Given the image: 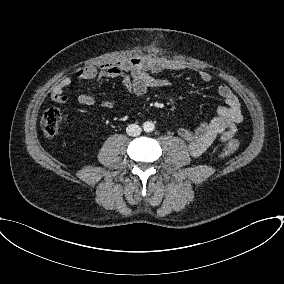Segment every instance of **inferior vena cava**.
Here are the masks:
<instances>
[{
  "label": "inferior vena cava",
  "mask_w": 284,
  "mask_h": 284,
  "mask_svg": "<svg viewBox=\"0 0 284 284\" xmlns=\"http://www.w3.org/2000/svg\"><path fill=\"white\" fill-rule=\"evenodd\" d=\"M141 131V127L136 124H130L126 128L127 134L132 137L140 135Z\"/></svg>",
  "instance_id": "602c4592"
}]
</instances>
